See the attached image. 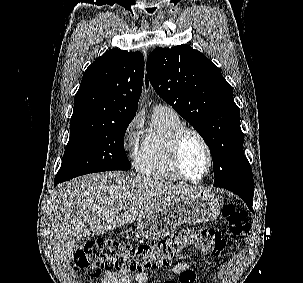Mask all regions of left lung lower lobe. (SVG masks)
<instances>
[{"instance_id": "0a47b994", "label": "left lung lower lobe", "mask_w": 303, "mask_h": 283, "mask_svg": "<svg viewBox=\"0 0 303 283\" xmlns=\"http://www.w3.org/2000/svg\"><path fill=\"white\" fill-rule=\"evenodd\" d=\"M225 188L233 193L237 194L241 197L244 202L247 204L248 208L253 211L252 204H253V195H254V188H247V187H232V186H225L221 187Z\"/></svg>"}]
</instances>
